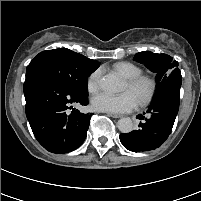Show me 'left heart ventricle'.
<instances>
[{
    "instance_id": "obj_1",
    "label": "left heart ventricle",
    "mask_w": 201,
    "mask_h": 201,
    "mask_svg": "<svg viewBox=\"0 0 201 201\" xmlns=\"http://www.w3.org/2000/svg\"><path fill=\"white\" fill-rule=\"evenodd\" d=\"M124 89H125V90H128V91H131V92L134 94V96L136 97V99H138L140 93L137 92V91L131 90V89L128 87L127 83L125 84V88H124Z\"/></svg>"
}]
</instances>
